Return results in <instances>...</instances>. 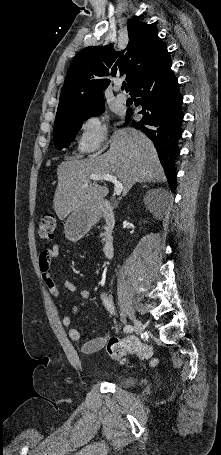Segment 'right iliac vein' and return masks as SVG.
<instances>
[{
  "mask_svg": "<svg viewBox=\"0 0 221 455\" xmlns=\"http://www.w3.org/2000/svg\"><path fill=\"white\" fill-rule=\"evenodd\" d=\"M131 319L134 323V331L136 334H140L144 330V326L140 320H138L135 316H131Z\"/></svg>",
  "mask_w": 221,
  "mask_h": 455,
  "instance_id": "1",
  "label": "right iliac vein"
}]
</instances>
